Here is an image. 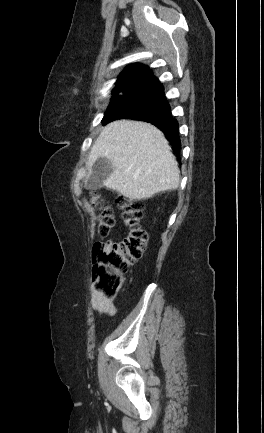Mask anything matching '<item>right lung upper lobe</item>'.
<instances>
[{
  "label": "right lung upper lobe",
  "instance_id": "obj_1",
  "mask_svg": "<svg viewBox=\"0 0 264 433\" xmlns=\"http://www.w3.org/2000/svg\"><path fill=\"white\" fill-rule=\"evenodd\" d=\"M153 77L148 66L143 64H132L125 68L116 81L112 98L118 97L134 89H141ZM180 154V153H179Z\"/></svg>",
  "mask_w": 264,
  "mask_h": 433
}]
</instances>
